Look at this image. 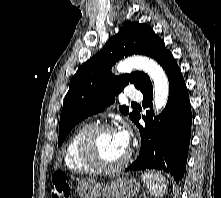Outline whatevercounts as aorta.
I'll return each mask as SVG.
<instances>
[{
	"instance_id": "aorta-1",
	"label": "aorta",
	"mask_w": 221,
	"mask_h": 198,
	"mask_svg": "<svg viewBox=\"0 0 221 198\" xmlns=\"http://www.w3.org/2000/svg\"><path fill=\"white\" fill-rule=\"evenodd\" d=\"M116 69L120 73L132 69L147 73L154 85V109L157 113L162 111L169 96V82L165 71L157 62L147 57L134 56L118 63Z\"/></svg>"
}]
</instances>
